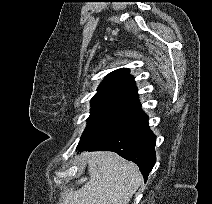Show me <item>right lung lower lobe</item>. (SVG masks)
<instances>
[{"label": "right lung lower lobe", "instance_id": "98d812e1", "mask_svg": "<svg viewBox=\"0 0 212 204\" xmlns=\"http://www.w3.org/2000/svg\"><path fill=\"white\" fill-rule=\"evenodd\" d=\"M156 137L149 129L148 117L141 112L127 127L109 139L80 151H113L127 160L135 162L147 180L156 162Z\"/></svg>", "mask_w": 212, "mask_h": 204}]
</instances>
